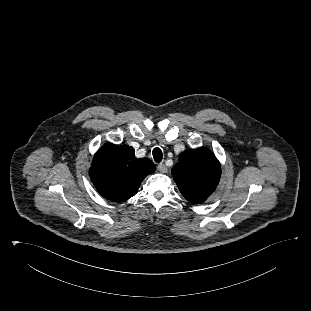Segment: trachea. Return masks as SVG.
<instances>
[{
    "mask_svg": "<svg viewBox=\"0 0 311 311\" xmlns=\"http://www.w3.org/2000/svg\"><path fill=\"white\" fill-rule=\"evenodd\" d=\"M152 153H153L155 162L159 163L162 161L163 154L160 148L158 147L154 148Z\"/></svg>",
    "mask_w": 311,
    "mask_h": 311,
    "instance_id": "obj_1",
    "label": "trachea"
}]
</instances>
